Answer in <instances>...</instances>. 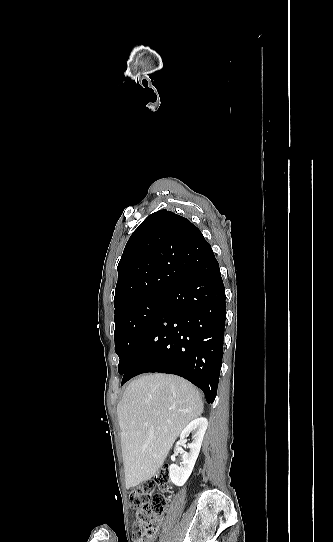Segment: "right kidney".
<instances>
[{"instance_id":"obj_1","label":"right kidney","mask_w":333,"mask_h":542,"mask_svg":"<svg viewBox=\"0 0 333 542\" xmlns=\"http://www.w3.org/2000/svg\"><path fill=\"white\" fill-rule=\"evenodd\" d=\"M208 422L206 418H196V420H193V422H190L184 430H182L180 434V440H178L174 454L175 456H178L180 450V446H186V438L191 434V432H194L193 434V442L191 444H188L187 448H190V452H184L182 458L183 462H181L180 466H176V464H171L169 468V476L171 482L175 484V486H184L186 484L189 476L192 474V470L195 466V462L199 456L200 448L202 446L204 434L207 430Z\"/></svg>"}]
</instances>
